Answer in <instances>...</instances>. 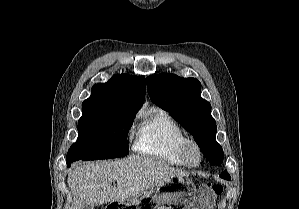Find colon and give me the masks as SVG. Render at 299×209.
<instances>
[{"label":"colon","instance_id":"1","mask_svg":"<svg viewBox=\"0 0 299 209\" xmlns=\"http://www.w3.org/2000/svg\"><path fill=\"white\" fill-rule=\"evenodd\" d=\"M200 203L195 209H213L215 200L223 193V186L206 182L200 186Z\"/></svg>","mask_w":299,"mask_h":209}]
</instances>
